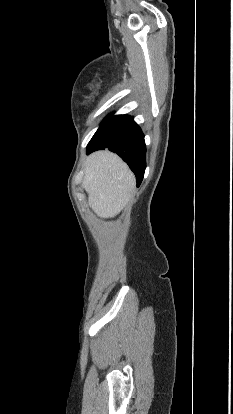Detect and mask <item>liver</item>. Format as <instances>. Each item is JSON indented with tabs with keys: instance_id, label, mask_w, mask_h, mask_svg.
Listing matches in <instances>:
<instances>
[{
	"instance_id": "obj_1",
	"label": "liver",
	"mask_w": 233,
	"mask_h": 414,
	"mask_svg": "<svg viewBox=\"0 0 233 414\" xmlns=\"http://www.w3.org/2000/svg\"><path fill=\"white\" fill-rule=\"evenodd\" d=\"M136 179L116 154L96 151L84 163L83 187L90 208L101 218L118 215L131 198Z\"/></svg>"
}]
</instances>
